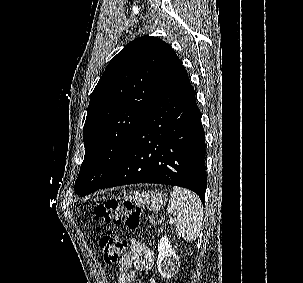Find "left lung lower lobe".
<instances>
[{
  "label": "left lung lower lobe",
  "mask_w": 303,
  "mask_h": 283,
  "mask_svg": "<svg viewBox=\"0 0 303 283\" xmlns=\"http://www.w3.org/2000/svg\"><path fill=\"white\" fill-rule=\"evenodd\" d=\"M205 136L194 89L179 58L165 75L113 175L98 189L135 183L177 185L205 202Z\"/></svg>",
  "instance_id": "0a47b994"
}]
</instances>
